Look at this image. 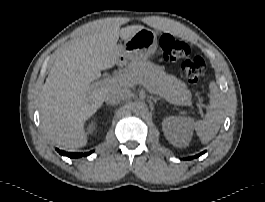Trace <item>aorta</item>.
I'll use <instances>...</instances> for the list:
<instances>
[{"instance_id": "obj_1", "label": "aorta", "mask_w": 265, "mask_h": 202, "mask_svg": "<svg viewBox=\"0 0 265 202\" xmlns=\"http://www.w3.org/2000/svg\"><path fill=\"white\" fill-rule=\"evenodd\" d=\"M132 111L138 115H144L148 112V107L145 102L139 101L132 105Z\"/></svg>"}]
</instances>
